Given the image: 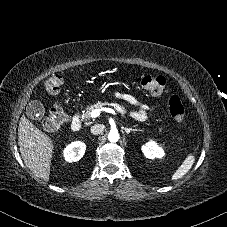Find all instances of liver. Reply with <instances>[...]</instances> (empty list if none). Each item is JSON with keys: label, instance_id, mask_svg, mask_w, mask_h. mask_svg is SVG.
<instances>
[{"label": "liver", "instance_id": "obj_1", "mask_svg": "<svg viewBox=\"0 0 227 227\" xmlns=\"http://www.w3.org/2000/svg\"><path fill=\"white\" fill-rule=\"evenodd\" d=\"M18 144L26 166L39 179L49 181L53 142L24 115L19 122Z\"/></svg>", "mask_w": 227, "mask_h": 227}]
</instances>
